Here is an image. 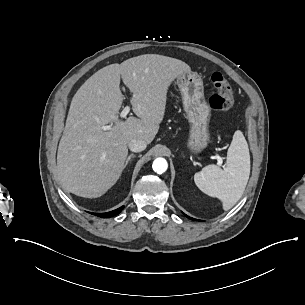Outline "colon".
<instances>
[{
	"label": "colon",
	"mask_w": 305,
	"mask_h": 305,
	"mask_svg": "<svg viewBox=\"0 0 305 305\" xmlns=\"http://www.w3.org/2000/svg\"><path fill=\"white\" fill-rule=\"evenodd\" d=\"M210 81L215 93L209 98V105L214 110L225 111L230 109L233 104V94L226 76L218 71L212 72Z\"/></svg>",
	"instance_id": "1"
}]
</instances>
